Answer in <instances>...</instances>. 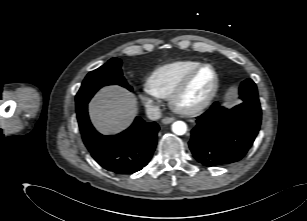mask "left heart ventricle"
Segmentation results:
<instances>
[{
	"label": "left heart ventricle",
	"instance_id": "left-heart-ventricle-1",
	"mask_svg": "<svg viewBox=\"0 0 307 221\" xmlns=\"http://www.w3.org/2000/svg\"><path fill=\"white\" fill-rule=\"evenodd\" d=\"M214 85V73L210 68L204 69L194 80L189 90L181 100V105L189 107L204 100Z\"/></svg>",
	"mask_w": 307,
	"mask_h": 221
}]
</instances>
